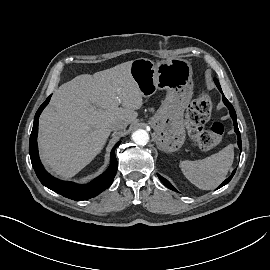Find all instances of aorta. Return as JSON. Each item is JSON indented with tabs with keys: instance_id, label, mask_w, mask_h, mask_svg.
Returning a JSON list of instances; mask_svg holds the SVG:
<instances>
[{
	"instance_id": "obj_1",
	"label": "aorta",
	"mask_w": 270,
	"mask_h": 270,
	"mask_svg": "<svg viewBox=\"0 0 270 270\" xmlns=\"http://www.w3.org/2000/svg\"><path fill=\"white\" fill-rule=\"evenodd\" d=\"M132 139L137 145H146L149 141V134L147 131L139 129L133 132Z\"/></svg>"
}]
</instances>
